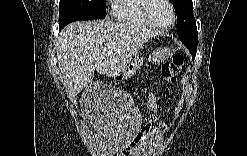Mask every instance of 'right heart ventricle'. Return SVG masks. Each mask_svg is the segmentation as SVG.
Instances as JSON below:
<instances>
[{"label":"right heart ventricle","instance_id":"1","mask_svg":"<svg viewBox=\"0 0 247 156\" xmlns=\"http://www.w3.org/2000/svg\"><path fill=\"white\" fill-rule=\"evenodd\" d=\"M144 0H118L112 4V14L120 22L151 27L143 14Z\"/></svg>","mask_w":247,"mask_h":156}]
</instances>
